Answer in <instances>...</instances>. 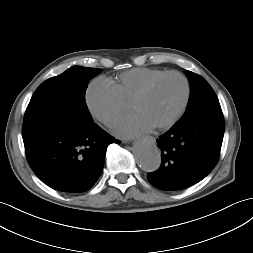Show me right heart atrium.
<instances>
[{
    "mask_svg": "<svg viewBox=\"0 0 253 253\" xmlns=\"http://www.w3.org/2000/svg\"><path fill=\"white\" fill-rule=\"evenodd\" d=\"M85 102L90 114L105 125L113 124L126 110L114 85L105 78L94 79L87 87Z\"/></svg>",
    "mask_w": 253,
    "mask_h": 253,
    "instance_id": "right-heart-atrium-1",
    "label": "right heart atrium"
}]
</instances>
